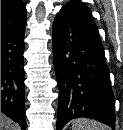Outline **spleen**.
<instances>
[{
	"instance_id": "spleen-1",
	"label": "spleen",
	"mask_w": 123,
	"mask_h": 130,
	"mask_svg": "<svg viewBox=\"0 0 123 130\" xmlns=\"http://www.w3.org/2000/svg\"><path fill=\"white\" fill-rule=\"evenodd\" d=\"M72 130H107V126L96 120L78 118L73 121Z\"/></svg>"
}]
</instances>
